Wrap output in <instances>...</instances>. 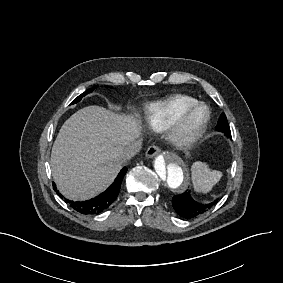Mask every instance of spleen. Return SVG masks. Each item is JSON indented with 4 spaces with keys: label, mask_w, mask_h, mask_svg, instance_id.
Segmentation results:
<instances>
[{
    "label": "spleen",
    "mask_w": 283,
    "mask_h": 283,
    "mask_svg": "<svg viewBox=\"0 0 283 283\" xmlns=\"http://www.w3.org/2000/svg\"><path fill=\"white\" fill-rule=\"evenodd\" d=\"M191 179L194 190L196 192L208 193L213 186L219 182L222 172L210 170V168L202 162H195L191 167Z\"/></svg>",
    "instance_id": "1"
}]
</instances>
